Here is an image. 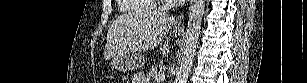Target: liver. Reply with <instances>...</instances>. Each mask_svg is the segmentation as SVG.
<instances>
[{
	"instance_id": "6515ba94",
	"label": "liver",
	"mask_w": 307,
	"mask_h": 83,
	"mask_svg": "<svg viewBox=\"0 0 307 83\" xmlns=\"http://www.w3.org/2000/svg\"><path fill=\"white\" fill-rule=\"evenodd\" d=\"M174 23L166 14L149 11L118 17L109 28L104 58L159 46Z\"/></svg>"
}]
</instances>
